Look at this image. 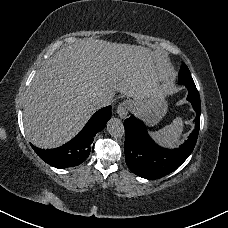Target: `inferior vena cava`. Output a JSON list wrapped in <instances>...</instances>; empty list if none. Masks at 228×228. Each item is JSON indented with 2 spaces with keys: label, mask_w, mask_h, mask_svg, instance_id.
Masks as SVG:
<instances>
[{
  "label": "inferior vena cava",
  "mask_w": 228,
  "mask_h": 228,
  "mask_svg": "<svg viewBox=\"0 0 228 228\" xmlns=\"http://www.w3.org/2000/svg\"><path fill=\"white\" fill-rule=\"evenodd\" d=\"M89 97L91 98V103H92V107L94 110L101 109L103 107H107V106L111 105L114 100V97L112 94L95 96L90 93Z\"/></svg>",
  "instance_id": "obj_1"
}]
</instances>
